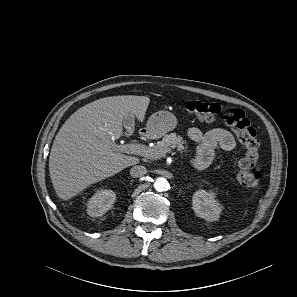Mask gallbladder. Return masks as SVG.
Here are the masks:
<instances>
[{
  "label": "gallbladder",
  "mask_w": 297,
  "mask_h": 297,
  "mask_svg": "<svg viewBox=\"0 0 297 297\" xmlns=\"http://www.w3.org/2000/svg\"><path fill=\"white\" fill-rule=\"evenodd\" d=\"M123 124L126 127L133 128L134 127V124H135V118H134V116H132V115L126 116L124 118V120H123Z\"/></svg>",
  "instance_id": "bac80fb5"
}]
</instances>
